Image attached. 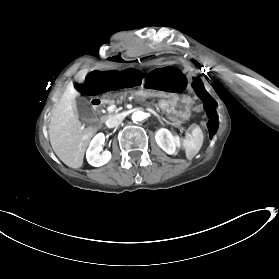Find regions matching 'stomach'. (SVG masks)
I'll return each instance as SVG.
<instances>
[{
	"instance_id": "stomach-1",
	"label": "stomach",
	"mask_w": 279,
	"mask_h": 279,
	"mask_svg": "<svg viewBox=\"0 0 279 279\" xmlns=\"http://www.w3.org/2000/svg\"><path fill=\"white\" fill-rule=\"evenodd\" d=\"M157 106L165 115L175 120H182L191 112L190 101L181 96L163 97L159 99Z\"/></svg>"
}]
</instances>
